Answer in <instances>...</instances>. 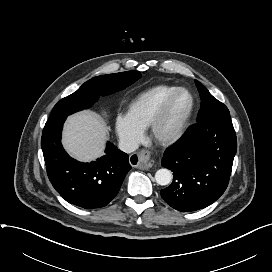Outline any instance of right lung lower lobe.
<instances>
[{"label": "right lung lower lobe", "instance_id": "1", "mask_svg": "<svg viewBox=\"0 0 272 272\" xmlns=\"http://www.w3.org/2000/svg\"><path fill=\"white\" fill-rule=\"evenodd\" d=\"M66 118L48 120L43 129L41 147L48 177L69 203L85 209L104 207L117 195L131 169L128 155L108 142L106 154L97 161L82 163L72 159L61 144Z\"/></svg>", "mask_w": 272, "mask_h": 272}]
</instances>
